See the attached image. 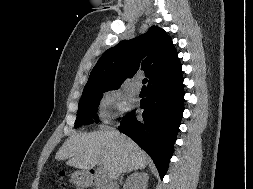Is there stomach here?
<instances>
[{"label":"stomach","instance_id":"1","mask_svg":"<svg viewBox=\"0 0 253 189\" xmlns=\"http://www.w3.org/2000/svg\"><path fill=\"white\" fill-rule=\"evenodd\" d=\"M72 181L78 185H85L90 182V179L86 172L77 171L74 174H72Z\"/></svg>","mask_w":253,"mask_h":189}]
</instances>
